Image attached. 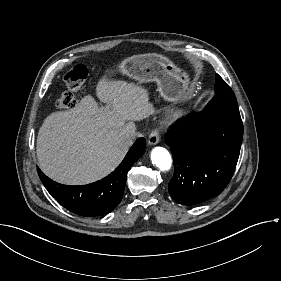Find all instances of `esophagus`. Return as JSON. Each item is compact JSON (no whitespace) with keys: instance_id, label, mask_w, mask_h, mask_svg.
<instances>
[{"instance_id":"1","label":"esophagus","mask_w":281,"mask_h":281,"mask_svg":"<svg viewBox=\"0 0 281 281\" xmlns=\"http://www.w3.org/2000/svg\"><path fill=\"white\" fill-rule=\"evenodd\" d=\"M159 131L158 130H153L150 135H149V139H148V144L149 145H157L159 142Z\"/></svg>"}]
</instances>
